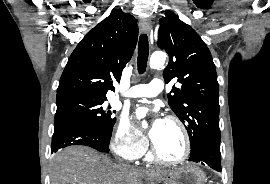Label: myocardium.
I'll use <instances>...</instances> for the list:
<instances>
[{
  "mask_svg": "<svg viewBox=\"0 0 270 184\" xmlns=\"http://www.w3.org/2000/svg\"><path fill=\"white\" fill-rule=\"evenodd\" d=\"M165 121L174 123L181 131L183 142H184L183 154L180 158L176 160H167L159 154L154 142H152L151 144V154H152V157L159 163H162L168 166H178V165L183 164L188 159L191 152V141H190L189 132L185 124L182 122V120L176 116H173V115L167 116Z\"/></svg>",
  "mask_w": 270,
  "mask_h": 184,
  "instance_id": "obj_1",
  "label": "myocardium"
}]
</instances>
